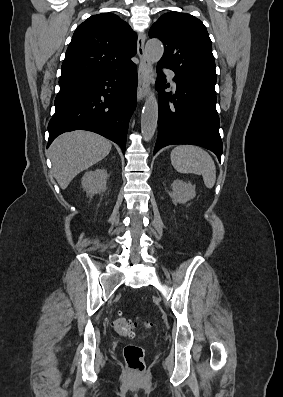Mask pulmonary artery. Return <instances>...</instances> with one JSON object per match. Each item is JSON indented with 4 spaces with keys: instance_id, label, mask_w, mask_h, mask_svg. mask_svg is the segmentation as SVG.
Returning a JSON list of instances; mask_svg holds the SVG:
<instances>
[{
    "instance_id": "pulmonary-artery-1",
    "label": "pulmonary artery",
    "mask_w": 283,
    "mask_h": 397,
    "mask_svg": "<svg viewBox=\"0 0 283 397\" xmlns=\"http://www.w3.org/2000/svg\"><path fill=\"white\" fill-rule=\"evenodd\" d=\"M165 72L169 75L173 85H175V81H174V73L171 70H165Z\"/></svg>"
}]
</instances>
